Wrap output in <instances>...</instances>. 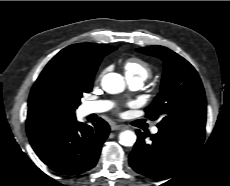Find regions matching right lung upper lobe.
<instances>
[{
  "label": "right lung upper lobe",
  "instance_id": "right-lung-upper-lobe-1",
  "mask_svg": "<svg viewBox=\"0 0 230 186\" xmlns=\"http://www.w3.org/2000/svg\"><path fill=\"white\" fill-rule=\"evenodd\" d=\"M111 47L95 43L73 44L48 62L29 96L26 120L29 138L75 120L76 108L65 99L64 88L76 75L95 74L104 52Z\"/></svg>",
  "mask_w": 230,
  "mask_h": 186
}]
</instances>
